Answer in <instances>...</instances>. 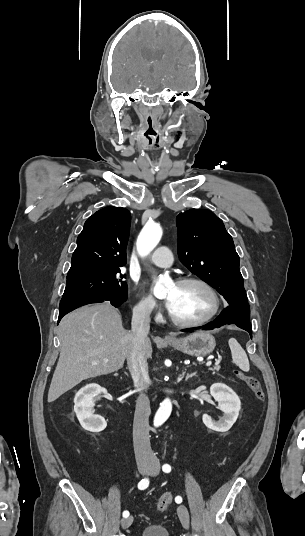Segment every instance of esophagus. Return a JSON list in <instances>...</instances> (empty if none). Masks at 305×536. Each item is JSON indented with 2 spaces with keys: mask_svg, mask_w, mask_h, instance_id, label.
Here are the masks:
<instances>
[{
  "mask_svg": "<svg viewBox=\"0 0 305 536\" xmlns=\"http://www.w3.org/2000/svg\"><path fill=\"white\" fill-rule=\"evenodd\" d=\"M165 339H166V340H169V337H168V336H166V337H165Z\"/></svg>",
  "mask_w": 305,
  "mask_h": 536,
  "instance_id": "obj_1",
  "label": "esophagus"
}]
</instances>
